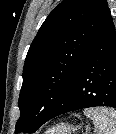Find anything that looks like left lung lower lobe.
<instances>
[{
    "instance_id": "1",
    "label": "left lung lower lobe",
    "mask_w": 116,
    "mask_h": 134,
    "mask_svg": "<svg viewBox=\"0 0 116 134\" xmlns=\"http://www.w3.org/2000/svg\"><path fill=\"white\" fill-rule=\"evenodd\" d=\"M73 93L49 117L90 107L116 108V31L110 16L73 80ZM48 120V121H49Z\"/></svg>"
}]
</instances>
